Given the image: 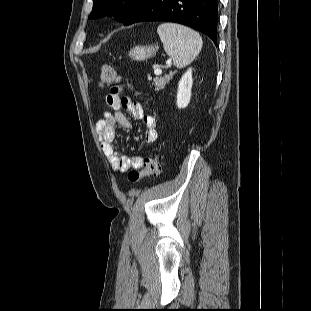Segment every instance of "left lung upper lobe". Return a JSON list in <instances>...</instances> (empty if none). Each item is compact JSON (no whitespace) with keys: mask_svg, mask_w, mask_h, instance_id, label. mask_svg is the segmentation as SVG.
Listing matches in <instances>:
<instances>
[{"mask_svg":"<svg viewBox=\"0 0 311 311\" xmlns=\"http://www.w3.org/2000/svg\"><path fill=\"white\" fill-rule=\"evenodd\" d=\"M140 0H93V9L90 19H96L105 14L114 15L116 20L122 21L127 13L138 4Z\"/></svg>","mask_w":311,"mask_h":311,"instance_id":"5c2ea615","label":"left lung upper lobe"}]
</instances>
